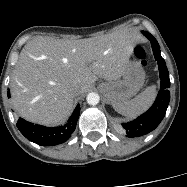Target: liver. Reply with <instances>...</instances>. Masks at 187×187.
Returning a JSON list of instances; mask_svg holds the SVG:
<instances>
[{
	"label": "liver",
	"instance_id": "1",
	"mask_svg": "<svg viewBox=\"0 0 187 187\" xmlns=\"http://www.w3.org/2000/svg\"><path fill=\"white\" fill-rule=\"evenodd\" d=\"M136 40L137 34L127 30L80 40L33 38L21 50L13 72L14 108L34 123H63L74 97L86 93L98 78L115 81L123 75Z\"/></svg>",
	"mask_w": 187,
	"mask_h": 187
}]
</instances>
